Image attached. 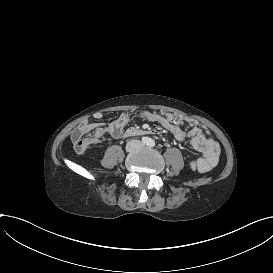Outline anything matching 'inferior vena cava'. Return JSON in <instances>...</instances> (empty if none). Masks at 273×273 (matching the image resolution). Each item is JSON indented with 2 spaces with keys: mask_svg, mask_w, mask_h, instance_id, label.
Listing matches in <instances>:
<instances>
[{
  "mask_svg": "<svg viewBox=\"0 0 273 273\" xmlns=\"http://www.w3.org/2000/svg\"><path fill=\"white\" fill-rule=\"evenodd\" d=\"M134 143H139V144H142L140 141L138 140H131L129 143H128V148H134L135 145Z\"/></svg>",
  "mask_w": 273,
  "mask_h": 273,
  "instance_id": "inferior-vena-cava-1",
  "label": "inferior vena cava"
}]
</instances>
